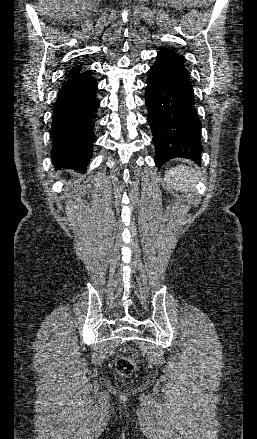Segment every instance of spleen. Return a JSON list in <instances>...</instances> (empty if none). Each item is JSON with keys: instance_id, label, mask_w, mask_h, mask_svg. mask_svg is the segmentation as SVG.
Masks as SVG:
<instances>
[{"instance_id": "obj_1", "label": "spleen", "mask_w": 257, "mask_h": 439, "mask_svg": "<svg viewBox=\"0 0 257 439\" xmlns=\"http://www.w3.org/2000/svg\"><path fill=\"white\" fill-rule=\"evenodd\" d=\"M198 178V174L192 167L180 165L167 171L165 180L169 186L181 191H191Z\"/></svg>"}]
</instances>
